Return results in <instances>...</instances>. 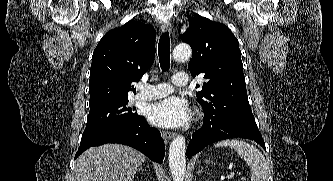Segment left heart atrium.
<instances>
[{
	"instance_id": "1",
	"label": "left heart atrium",
	"mask_w": 333,
	"mask_h": 181,
	"mask_svg": "<svg viewBox=\"0 0 333 181\" xmlns=\"http://www.w3.org/2000/svg\"><path fill=\"white\" fill-rule=\"evenodd\" d=\"M191 112L187 101L176 96L152 104L148 110L149 121L160 127L176 128L190 121Z\"/></svg>"
}]
</instances>
